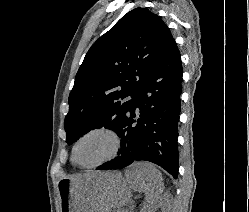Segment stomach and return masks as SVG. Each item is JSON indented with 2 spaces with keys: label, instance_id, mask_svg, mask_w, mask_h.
<instances>
[{
  "label": "stomach",
  "instance_id": "0dacf381",
  "mask_svg": "<svg viewBox=\"0 0 249 212\" xmlns=\"http://www.w3.org/2000/svg\"><path fill=\"white\" fill-rule=\"evenodd\" d=\"M61 212H109L127 204L134 184H125L123 170H87V175H71L58 182Z\"/></svg>",
  "mask_w": 249,
  "mask_h": 212
}]
</instances>
